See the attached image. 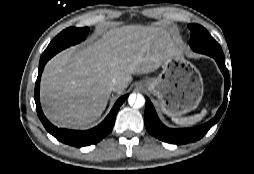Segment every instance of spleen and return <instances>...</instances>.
Instances as JSON below:
<instances>
[{
  "mask_svg": "<svg viewBox=\"0 0 254 174\" xmlns=\"http://www.w3.org/2000/svg\"><path fill=\"white\" fill-rule=\"evenodd\" d=\"M207 109H203L201 113L190 117H172V121L181 126H191L201 121L207 114Z\"/></svg>",
  "mask_w": 254,
  "mask_h": 174,
  "instance_id": "spleen-1",
  "label": "spleen"
}]
</instances>
